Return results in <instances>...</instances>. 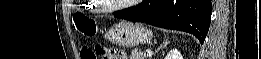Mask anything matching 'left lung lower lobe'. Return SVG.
<instances>
[{
    "mask_svg": "<svg viewBox=\"0 0 261 59\" xmlns=\"http://www.w3.org/2000/svg\"><path fill=\"white\" fill-rule=\"evenodd\" d=\"M211 0H144L115 17L185 31L204 43L211 21Z\"/></svg>",
    "mask_w": 261,
    "mask_h": 59,
    "instance_id": "obj_1",
    "label": "left lung lower lobe"
}]
</instances>
